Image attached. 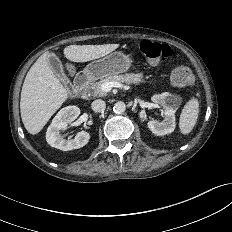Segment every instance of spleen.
Returning a JSON list of instances; mask_svg holds the SVG:
<instances>
[{
    "mask_svg": "<svg viewBox=\"0 0 232 232\" xmlns=\"http://www.w3.org/2000/svg\"><path fill=\"white\" fill-rule=\"evenodd\" d=\"M199 113V102L197 99H191L182 110L180 116V131L183 134H188L194 128Z\"/></svg>",
    "mask_w": 232,
    "mask_h": 232,
    "instance_id": "obj_1",
    "label": "spleen"
}]
</instances>
